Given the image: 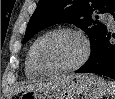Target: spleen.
Wrapping results in <instances>:
<instances>
[{"label": "spleen", "mask_w": 115, "mask_h": 99, "mask_svg": "<svg viewBox=\"0 0 115 99\" xmlns=\"http://www.w3.org/2000/svg\"><path fill=\"white\" fill-rule=\"evenodd\" d=\"M108 91L112 96V99H115V82H108Z\"/></svg>", "instance_id": "spleen-1"}]
</instances>
